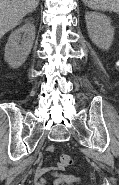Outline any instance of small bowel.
<instances>
[{
    "label": "small bowel",
    "instance_id": "obj_1",
    "mask_svg": "<svg viewBox=\"0 0 119 185\" xmlns=\"http://www.w3.org/2000/svg\"><path fill=\"white\" fill-rule=\"evenodd\" d=\"M47 150L49 153H53L54 147L49 146ZM63 169L64 167L60 164H57L54 167H41V165H39L34 172V184L46 185L48 176H52L54 178L53 185H64L65 183L72 181L75 178L74 175L63 174Z\"/></svg>",
    "mask_w": 119,
    "mask_h": 185
}]
</instances>
